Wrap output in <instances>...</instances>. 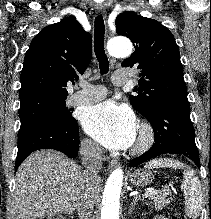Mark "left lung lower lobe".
Segmentation results:
<instances>
[{
  "mask_svg": "<svg viewBox=\"0 0 211 219\" xmlns=\"http://www.w3.org/2000/svg\"><path fill=\"white\" fill-rule=\"evenodd\" d=\"M146 119L153 128L155 143L149 151L130 162L132 167L156 156L171 153L185 155L200 168L188 101L175 99L161 102Z\"/></svg>",
  "mask_w": 211,
  "mask_h": 219,
  "instance_id": "obj_1",
  "label": "left lung lower lobe"
}]
</instances>
